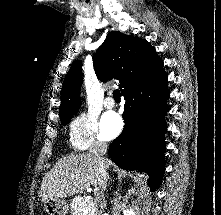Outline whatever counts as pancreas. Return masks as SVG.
<instances>
[{"label":"pancreas","mask_w":221,"mask_h":215,"mask_svg":"<svg viewBox=\"0 0 221 215\" xmlns=\"http://www.w3.org/2000/svg\"><path fill=\"white\" fill-rule=\"evenodd\" d=\"M70 206L72 215H96L94 203L91 200L84 202V198L81 195L73 198Z\"/></svg>","instance_id":"pancreas-1"}]
</instances>
